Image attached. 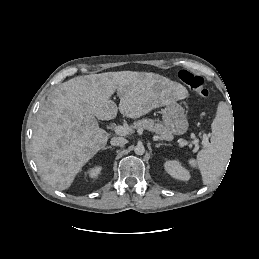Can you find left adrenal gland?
I'll return each instance as SVG.
<instances>
[{
	"instance_id": "obj_1",
	"label": "left adrenal gland",
	"mask_w": 259,
	"mask_h": 259,
	"mask_svg": "<svg viewBox=\"0 0 259 259\" xmlns=\"http://www.w3.org/2000/svg\"><path fill=\"white\" fill-rule=\"evenodd\" d=\"M163 145L168 146V144H166V143H158V144H156V147L159 148L160 146H163Z\"/></svg>"
}]
</instances>
